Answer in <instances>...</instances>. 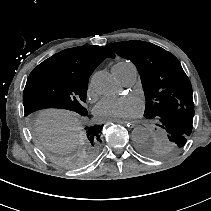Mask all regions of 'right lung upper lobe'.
<instances>
[{
  "label": "right lung upper lobe",
  "mask_w": 211,
  "mask_h": 211,
  "mask_svg": "<svg viewBox=\"0 0 211 211\" xmlns=\"http://www.w3.org/2000/svg\"><path fill=\"white\" fill-rule=\"evenodd\" d=\"M114 53L103 46H81L63 50L43 61L36 68L67 72L90 77L94 69Z\"/></svg>",
  "instance_id": "cb5924a9"
}]
</instances>
